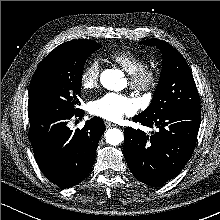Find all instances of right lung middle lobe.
Returning a JSON list of instances; mask_svg holds the SVG:
<instances>
[{"label": "right lung middle lobe", "mask_w": 220, "mask_h": 220, "mask_svg": "<svg viewBox=\"0 0 220 220\" xmlns=\"http://www.w3.org/2000/svg\"><path fill=\"white\" fill-rule=\"evenodd\" d=\"M100 47L92 40L68 41L43 59L31 81L28 114L77 112L85 61Z\"/></svg>", "instance_id": "right-lung-middle-lobe-1"}]
</instances>
